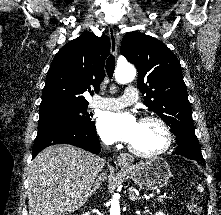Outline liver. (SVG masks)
I'll use <instances>...</instances> for the list:
<instances>
[{"mask_svg":"<svg viewBox=\"0 0 221 215\" xmlns=\"http://www.w3.org/2000/svg\"><path fill=\"white\" fill-rule=\"evenodd\" d=\"M103 167L99 157L68 144L45 148L30 166L29 215H68L78 210Z\"/></svg>","mask_w":221,"mask_h":215,"instance_id":"liver-1","label":"liver"}]
</instances>
